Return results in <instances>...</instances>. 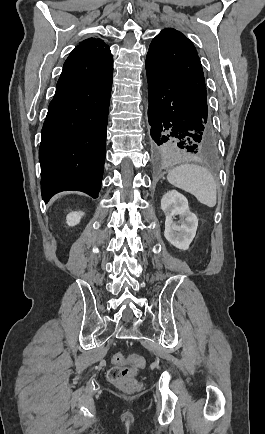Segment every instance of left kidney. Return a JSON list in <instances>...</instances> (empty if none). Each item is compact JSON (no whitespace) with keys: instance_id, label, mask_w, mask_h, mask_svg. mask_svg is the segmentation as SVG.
Instances as JSON below:
<instances>
[{"instance_id":"5707ae66","label":"left kidney","mask_w":265,"mask_h":434,"mask_svg":"<svg viewBox=\"0 0 265 434\" xmlns=\"http://www.w3.org/2000/svg\"><path fill=\"white\" fill-rule=\"evenodd\" d=\"M161 210L166 216V240L178 250H188L198 228V220L195 214L190 212L188 200L176 190H170L161 200ZM175 216L184 218V222H173Z\"/></svg>"}]
</instances>
